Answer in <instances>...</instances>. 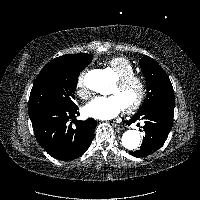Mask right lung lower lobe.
<instances>
[{"instance_id":"obj_1","label":"right lung lower lobe","mask_w":200,"mask_h":200,"mask_svg":"<svg viewBox=\"0 0 200 200\" xmlns=\"http://www.w3.org/2000/svg\"><path fill=\"white\" fill-rule=\"evenodd\" d=\"M77 110L75 105L29 112L36 139L56 159H76L85 153L92 142L96 121L89 118L75 121V126H72L70 120L79 114Z\"/></svg>"}]
</instances>
